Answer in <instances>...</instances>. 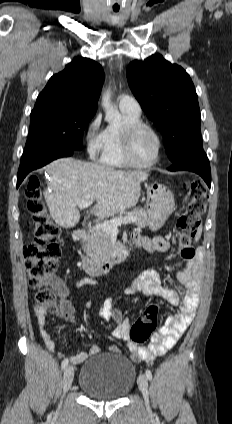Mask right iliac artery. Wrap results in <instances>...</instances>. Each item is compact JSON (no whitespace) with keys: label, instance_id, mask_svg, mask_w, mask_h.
<instances>
[{"label":"right iliac artery","instance_id":"1","mask_svg":"<svg viewBox=\"0 0 232 424\" xmlns=\"http://www.w3.org/2000/svg\"><path fill=\"white\" fill-rule=\"evenodd\" d=\"M67 365H68V359L66 358V359H64L62 361L61 369L62 370H65V368L67 367Z\"/></svg>","mask_w":232,"mask_h":424}]
</instances>
